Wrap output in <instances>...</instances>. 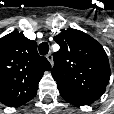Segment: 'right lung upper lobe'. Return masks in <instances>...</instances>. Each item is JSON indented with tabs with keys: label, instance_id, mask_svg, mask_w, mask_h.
Masks as SVG:
<instances>
[{
	"label": "right lung upper lobe",
	"instance_id": "cb5924a9",
	"mask_svg": "<svg viewBox=\"0 0 114 114\" xmlns=\"http://www.w3.org/2000/svg\"><path fill=\"white\" fill-rule=\"evenodd\" d=\"M51 65L39 56L37 43L13 31L0 39V102L18 107L36 94L44 71Z\"/></svg>",
	"mask_w": 114,
	"mask_h": 114
}]
</instances>
